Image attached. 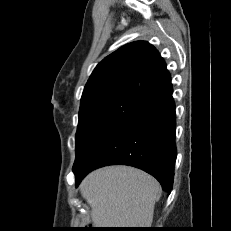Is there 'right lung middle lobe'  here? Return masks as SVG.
Returning <instances> with one entry per match:
<instances>
[{
	"mask_svg": "<svg viewBox=\"0 0 231 231\" xmlns=\"http://www.w3.org/2000/svg\"><path fill=\"white\" fill-rule=\"evenodd\" d=\"M146 103L133 95L114 94L100 97L80 108L73 170L78 169L98 145Z\"/></svg>",
	"mask_w": 231,
	"mask_h": 231,
	"instance_id": "dd1d6c3e",
	"label": "right lung middle lobe"
}]
</instances>
